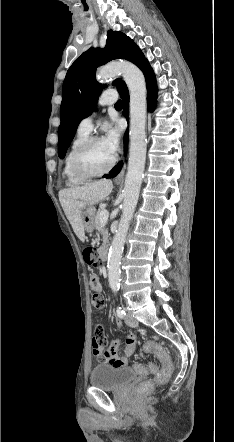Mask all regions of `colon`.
I'll list each match as a JSON object with an SVG mask.
<instances>
[{"mask_svg": "<svg viewBox=\"0 0 234 442\" xmlns=\"http://www.w3.org/2000/svg\"><path fill=\"white\" fill-rule=\"evenodd\" d=\"M83 257H84L85 262L91 266L100 267L103 265V262L100 259V257L98 256L96 250L91 246H88L83 250ZM90 286L93 291L92 299H91L92 305L95 309L100 310L104 307V298L101 295V292H99L95 289V287L97 286V278L96 277L91 278ZM104 336H105V334H104ZM143 351L147 352V353L154 352L157 355V357L160 359V361L162 362L163 367H162L161 371L158 372L159 365L155 361H151L147 367L142 365V363L139 360H135L132 363V366H133L132 370L134 372L140 373L142 375H146L148 372L153 373V374L157 373V376L154 377L152 380H140L139 381V388L142 391L147 390V389H153L154 386H161L162 384L166 383L167 379L172 374V368H173L170 355L162 345H160L158 343L146 341L143 344Z\"/></svg>", "mask_w": 234, "mask_h": 442, "instance_id": "5ec220e1", "label": "colon"}]
</instances>
